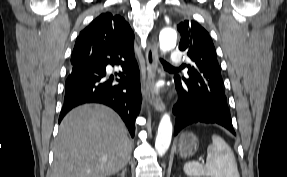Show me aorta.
I'll use <instances>...</instances> for the list:
<instances>
[{
    "mask_svg": "<svg viewBox=\"0 0 287 177\" xmlns=\"http://www.w3.org/2000/svg\"><path fill=\"white\" fill-rule=\"evenodd\" d=\"M176 41L177 33L174 29L165 28L160 32L159 43L162 52L171 50L176 45ZM172 131L170 116L164 114L160 120L155 140V149L159 156H163L167 152L172 139Z\"/></svg>",
    "mask_w": 287,
    "mask_h": 177,
    "instance_id": "aorta-1",
    "label": "aorta"
}]
</instances>
